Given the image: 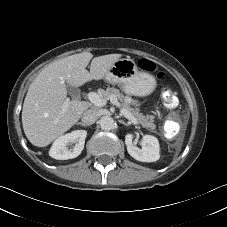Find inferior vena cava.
<instances>
[{
  "label": "inferior vena cava",
  "mask_w": 227,
  "mask_h": 227,
  "mask_svg": "<svg viewBox=\"0 0 227 227\" xmlns=\"http://www.w3.org/2000/svg\"><path fill=\"white\" fill-rule=\"evenodd\" d=\"M99 116V113L95 109H88L83 113L82 122L86 125L93 124Z\"/></svg>",
  "instance_id": "obj_1"
}]
</instances>
